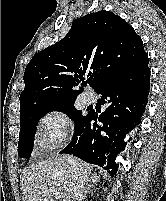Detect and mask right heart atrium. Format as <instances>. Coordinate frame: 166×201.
I'll return each mask as SVG.
<instances>
[{
    "label": "right heart atrium",
    "instance_id": "1",
    "mask_svg": "<svg viewBox=\"0 0 166 201\" xmlns=\"http://www.w3.org/2000/svg\"><path fill=\"white\" fill-rule=\"evenodd\" d=\"M70 135V121L62 111H49L39 120L37 143L44 152L60 148L69 140Z\"/></svg>",
    "mask_w": 166,
    "mask_h": 201
}]
</instances>
